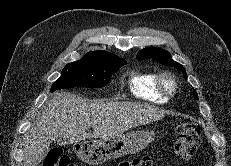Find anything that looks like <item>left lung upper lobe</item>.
I'll list each match as a JSON object with an SVG mask.
<instances>
[{
    "mask_svg": "<svg viewBox=\"0 0 231 166\" xmlns=\"http://www.w3.org/2000/svg\"><path fill=\"white\" fill-rule=\"evenodd\" d=\"M137 58L139 60H143L145 58H151L154 61L160 62L163 65H167L170 67H175L177 69H180L183 72L184 78L187 79L185 68H183V66L180 63L172 60L170 53L166 50H163L162 48L147 47L138 52ZM193 96L195 97V99H198V95L195 90L193 91Z\"/></svg>",
    "mask_w": 231,
    "mask_h": 166,
    "instance_id": "obj_1",
    "label": "left lung upper lobe"
}]
</instances>
